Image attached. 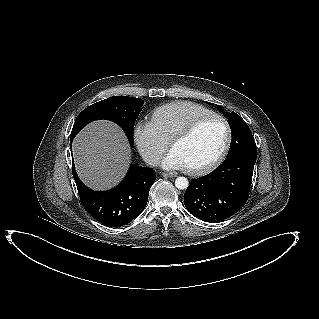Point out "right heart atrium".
<instances>
[{
    "label": "right heart atrium",
    "instance_id": "d8ad5b80",
    "mask_svg": "<svg viewBox=\"0 0 319 319\" xmlns=\"http://www.w3.org/2000/svg\"><path fill=\"white\" fill-rule=\"evenodd\" d=\"M133 139L141 157L150 165H156L168 148V141L149 121H139L135 124Z\"/></svg>",
    "mask_w": 319,
    "mask_h": 319
}]
</instances>
